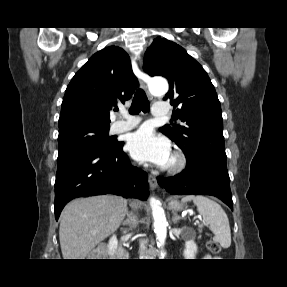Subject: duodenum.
Instances as JSON below:
<instances>
[{
	"instance_id": "obj_1",
	"label": "duodenum",
	"mask_w": 287,
	"mask_h": 287,
	"mask_svg": "<svg viewBox=\"0 0 287 287\" xmlns=\"http://www.w3.org/2000/svg\"><path fill=\"white\" fill-rule=\"evenodd\" d=\"M119 255L126 257V256H128V251L124 247H122L119 251Z\"/></svg>"
}]
</instances>
